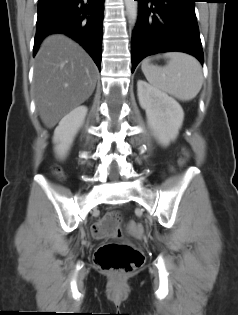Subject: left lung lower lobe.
Instances as JSON below:
<instances>
[{"mask_svg":"<svg viewBox=\"0 0 238 315\" xmlns=\"http://www.w3.org/2000/svg\"><path fill=\"white\" fill-rule=\"evenodd\" d=\"M138 1V20L132 34V72L145 57L180 51L204 61L195 15L196 0Z\"/></svg>","mask_w":238,"mask_h":315,"instance_id":"left-lung-lower-lobe-1","label":"left lung lower lobe"}]
</instances>
